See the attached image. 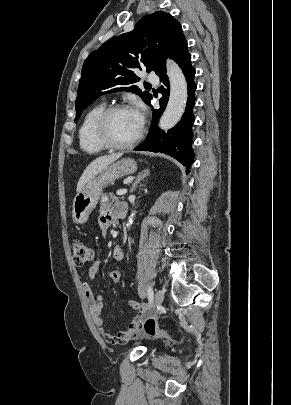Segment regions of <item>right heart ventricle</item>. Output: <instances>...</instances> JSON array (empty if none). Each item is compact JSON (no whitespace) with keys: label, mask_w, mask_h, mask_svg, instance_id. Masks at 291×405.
Here are the masks:
<instances>
[{"label":"right heart ventricle","mask_w":291,"mask_h":405,"mask_svg":"<svg viewBox=\"0 0 291 405\" xmlns=\"http://www.w3.org/2000/svg\"><path fill=\"white\" fill-rule=\"evenodd\" d=\"M104 103L96 104L91 107L84 115L78 130L79 145L83 152L88 154L101 153L106 149L96 138L95 124L105 109Z\"/></svg>","instance_id":"right-heart-ventricle-1"}]
</instances>
